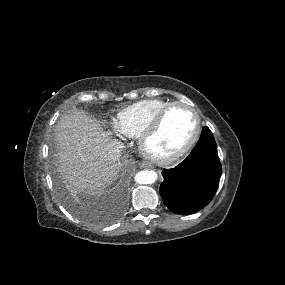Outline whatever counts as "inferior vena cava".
I'll list each match as a JSON object with an SVG mask.
<instances>
[{"label":"inferior vena cava","mask_w":285,"mask_h":285,"mask_svg":"<svg viewBox=\"0 0 285 285\" xmlns=\"http://www.w3.org/2000/svg\"><path fill=\"white\" fill-rule=\"evenodd\" d=\"M108 146L110 149V157L114 161H118L121 157V151L125 147L124 144L118 140H111Z\"/></svg>","instance_id":"obj_1"}]
</instances>
